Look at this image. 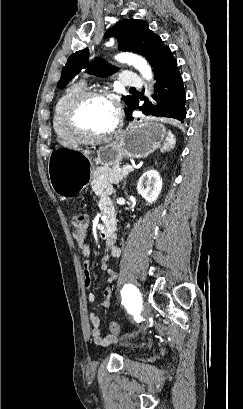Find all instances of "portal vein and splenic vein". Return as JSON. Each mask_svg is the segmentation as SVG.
Instances as JSON below:
<instances>
[{
	"mask_svg": "<svg viewBox=\"0 0 243 409\" xmlns=\"http://www.w3.org/2000/svg\"><path fill=\"white\" fill-rule=\"evenodd\" d=\"M124 170H133V166L132 165H125L123 167Z\"/></svg>",
	"mask_w": 243,
	"mask_h": 409,
	"instance_id": "1",
	"label": "portal vein and splenic vein"
}]
</instances>
